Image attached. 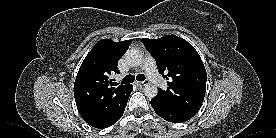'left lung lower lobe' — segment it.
<instances>
[{
	"instance_id": "left-lung-lower-lobe-1",
	"label": "left lung lower lobe",
	"mask_w": 276,
	"mask_h": 138,
	"mask_svg": "<svg viewBox=\"0 0 276 138\" xmlns=\"http://www.w3.org/2000/svg\"><path fill=\"white\" fill-rule=\"evenodd\" d=\"M151 105L160 117L172 123L185 122L196 114L165 104L157 98L151 100Z\"/></svg>"
}]
</instances>
